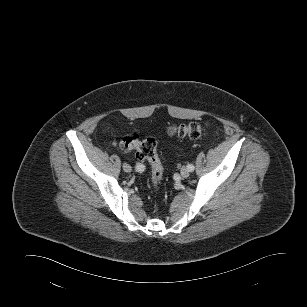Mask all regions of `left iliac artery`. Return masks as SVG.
<instances>
[{
	"instance_id": "left-iliac-artery-1",
	"label": "left iliac artery",
	"mask_w": 307,
	"mask_h": 307,
	"mask_svg": "<svg viewBox=\"0 0 307 307\" xmlns=\"http://www.w3.org/2000/svg\"><path fill=\"white\" fill-rule=\"evenodd\" d=\"M187 168L189 169L190 172L194 171L195 167L192 164H188Z\"/></svg>"
}]
</instances>
